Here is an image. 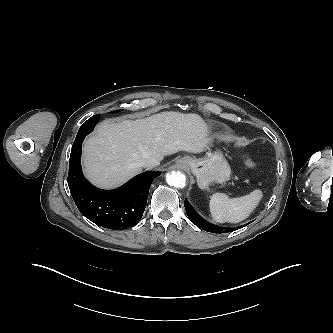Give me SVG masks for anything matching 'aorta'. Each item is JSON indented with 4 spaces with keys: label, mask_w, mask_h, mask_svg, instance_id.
I'll return each instance as SVG.
<instances>
[{
    "label": "aorta",
    "mask_w": 333,
    "mask_h": 333,
    "mask_svg": "<svg viewBox=\"0 0 333 333\" xmlns=\"http://www.w3.org/2000/svg\"><path fill=\"white\" fill-rule=\"evenodd\" d=\"M166 182L170 186L184 188L186 185V176L181 172L172 171L166 175Z\"/></svg>",
    "instance_id": "obj_1"
}]
</instances>
